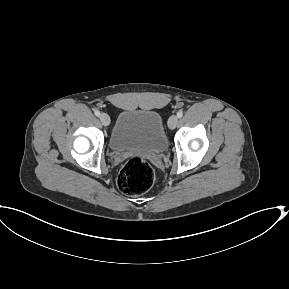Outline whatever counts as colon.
<instances>
[{"instance_id":"1","label":"colon","mask_w":289,"mask_h":289,"mask_svg":"<svg viewBox=\"0 0 289 289\" xmlns=\"http://www.w3.org/2000/svg\"><path fill=\"white\" fill-rule=\"evenodd\" d=\"M154 180L155 173L152 166L140 157H133L122 166L117 185L123 193L138 196L146 193Z\"/></svg>"}]
</instances>
